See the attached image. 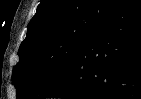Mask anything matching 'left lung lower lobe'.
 <instances>
[{
    "mask_svg": "<svg viewBox=\"0 0 141 99\" xmlns=\"http://www.w3.org/2000/svg\"><path fill=\"white\" fill-rule=\"evenodd\" d=\"M141 99V0H121L39 98Z\"/></svg>",
    "mask_w": 141,
    "mask_h": 99,
    "instance_id": "1",
    "label": "left lung lower lobe"
}]
</instances>
